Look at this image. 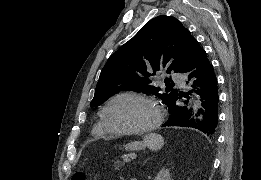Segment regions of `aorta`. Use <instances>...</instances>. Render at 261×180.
<instances>
[{
	"label": "aorta",
	"mask_w": 261,
	"mask_h": 180,
	"mask_svg": "<svg viewBox=\"0 0 261 180\" xmlns=\"http://www.w3.org/2000/svg\"><path fill=\"white\" fill-rule=\"evenodd\" d=\"M201 107V102H200V98L198 96H195L192 99V109L194 111V113L197 112V110Z\"/></svg>",
	"instance_id": "obj_1"
}]
</instances>
